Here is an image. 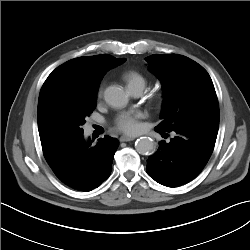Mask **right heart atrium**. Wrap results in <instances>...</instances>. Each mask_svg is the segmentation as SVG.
Here are the masks:
<instances>
[{"instance_id":"d8ad5b80","label":"right heart atrium","mask_w":250,"mask_h":250,"mask_svg":"<svg viewBox=\"0 0 250 250\" xmlns=\"http://www.w3.org/2000/svg\"><path fill=\"white\" fill-rule=\"evenodd\" d=\"M101 96H102V87H100L98 90V97H101Z\"/></svg>"}]
</instances>
